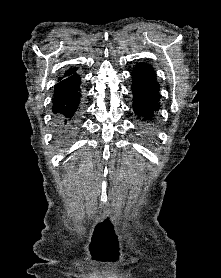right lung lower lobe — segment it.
I'll return each instance as SVG.
<instances>
[{"label": "right lung lower lobe", "mask_w": 221, "mask_h": 278, "mask_svg": "<svg viewBox=\"0 0 221 278\" xmlns=\"http://www.w3.org/2000/svg\"><path fill=\"white\" fill-rule=\"evenodd\" d=\"M81 78L74 73L55 85L53 113L56 116L60 135L72 133L81 114Z\"/></svg>", "instance_id": "right-lung-lower-lobe-1"}]
</instances>
